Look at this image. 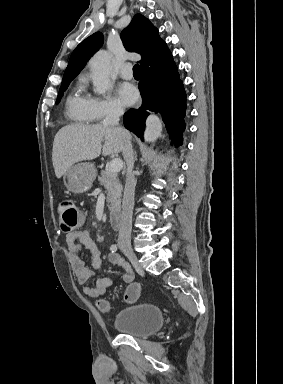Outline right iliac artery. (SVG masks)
Returning <instances> with one entry per match:
<instances>
[{"mask_svg":"<svg viewBox=\"0 0 283 384\" xmlns=\"http://www.w3.org/2000/svg\"><path fill=\"white\" fill-rule=\"evenodd\" d=\"M110 250L114 253L117 251V245L116 244H113L111 247H110Z\"/></svg>","mask_w":283,"mask_h":384,"instance_id":"right-iliac-artery-1","label":"right iliac artery"}]
</instances>
